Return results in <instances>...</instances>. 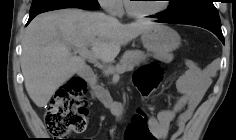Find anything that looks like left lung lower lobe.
Here are the masks:
<instances>
[{
	"label": "left lung lower lobe",
	"mask_w": 236,
	"mask_h": 140,
	"mask_svg": "<svg viewBox=\"0 0 236 140\" xmlns=\"http://www.w3.org/2000/svg\"><path fill=\"white\" fill-rule=\"evenodd\" d=\"M157 22H160V23H173V24H188V25L199 26V27L205 28V29L213 32L224 44V37H223L222 31H221V26H216V25H213V24H207V23H201V22L172 21V20H168L164 16H159Z\"/></svg>",
	"instance_id": "left-lung-lower-lobe-1"
}]
</instances>
